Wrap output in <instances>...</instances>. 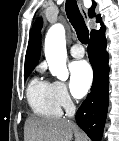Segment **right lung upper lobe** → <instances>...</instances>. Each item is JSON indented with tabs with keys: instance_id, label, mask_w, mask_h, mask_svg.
<instances>
[{
	"instance_id": "right-lung-upper-lobe-1",
	"label": "right lung upper lobe",
	"mask_w": 119,
	"mask_h": 141,
	"mask_svg": "<svg viewBox=\"0 0 119 141\" xmlns=\"http://www.w3.org/2000/svg\"><path fill=\"white\" fill-rule=\"evenodd\" d=\"M95 6H96V3L93 2L92 7L88 11V15L91 18L95 16ZM100 21H101V18L98 15L97 22H100ZM41 28H42V20L38 19L35 22L30 32L28 48H27L26 57H25L24 72L32 71L38 63V60L40 57V31H41Z\"/></svg>"
}]
</instances>
